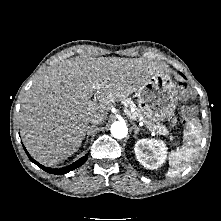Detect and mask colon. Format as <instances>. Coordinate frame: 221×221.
Masks as SVG:
<instances>
[{
  "mask_svg": "<svg viewBox=\"0 0 221 221\" xmlns=\"http://www.w3.org/2000/svg\"><path fill=\"white\" fill-rule=\"evenodd\" d=\"M181 96L184 100L189 99L191 97L190 90L188 88H183L181 90ZM180 114H181L183 121L187 122L195 116L196 110L193 107H184V108H182Z\"/></svg>",
  "mask_w": 221,
  "mask_h": 221,
  "instance_id": "obj_1",
  "label": "colon"
}]
</instances>
